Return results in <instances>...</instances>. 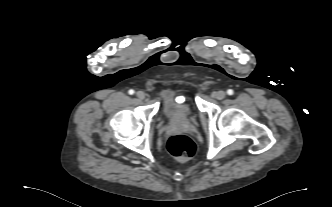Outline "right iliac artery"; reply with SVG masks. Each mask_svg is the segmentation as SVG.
Returning a JSON list of instances; mask_svg holds the SVG:
<instances>
[{"mask_svg":"<svg viewBox=\"0 0 332 207\" xmlns=\"http://www.w3.org/2000/svg\"><path fill=\"white\" fill-rule=\"evenodd\" d=\"M128 93H129L130 95H133V94H134V90H133V89H130V90L128 91Z\"/></svg>","mask_w":332,"mask_h":207,"instance_id":"1","label":"right iliac artery"}]
</instances>
